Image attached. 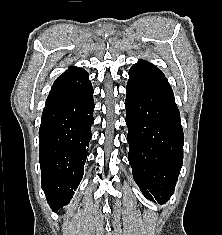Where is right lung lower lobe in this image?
I'll return each instance as SVG.
<instances>
[{"mask_svg":"<svg viewBox=\"0 0 222 235\" xmlns=\"http://www.w3.org/2000/svg\"><path fill=\"white\" fill-rule=\"evenodd\" d=\"M93 110V87L84 69L57 78L39 130L42 189L53 210L70 202L83 177Z\"/></svg>","mask_w":222,"mask_h":235,"instance_id":"obj_1","label":"right lung lower lobe"}]
</instances>
